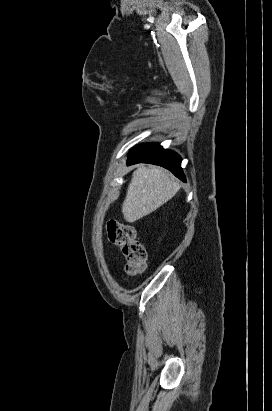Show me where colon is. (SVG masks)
<instances>
[{
    "instance_id": "colon-1",
    "label": "colon",
    "mask_w": 272,
    "mask_h": 411,
    "mask_svg": "<svg viewBox=\"0 0 272 411\" xmlns=\"http://www.w3.org/2000/svg\"><path fill=\"white\" fill-rule=\"evenodd\" d=\"M106 231L108 239L123 251L127 274L130 276L142 274L146 268V249L138 240L135 228L127 223L109 221Z\"/></svg>"
}]
</instances>
